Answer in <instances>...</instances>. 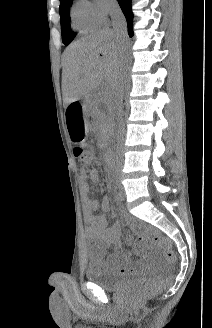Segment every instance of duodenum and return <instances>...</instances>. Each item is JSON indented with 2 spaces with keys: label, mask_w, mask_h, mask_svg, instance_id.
I'll return each instance as SVG.
<instances>
[{
  "label": "duodenum",
  "mask_w": 212,
  "mask_h": 328,
  "mask_svg": "<svg viewBox=\"0 0 212 328\" xmlns=\"http://www.w3.org/2000/svg\"><path fill=\"white\" fill-rule=\"evenodd\" d=\"M106 160L109 162L110 161V158H109V155L107 154L106 155Z\"/></svg>",
  "instance_id": "obj_1"
}]
</instances>
